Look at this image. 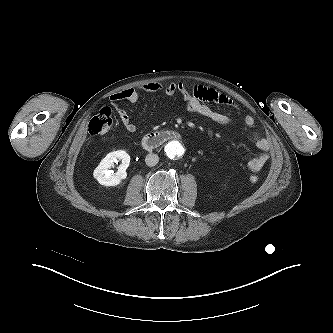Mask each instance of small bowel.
Instances as JSON below:
<instances>
[{"label":"small bowel","instance_id":"1","mask_svg":"<svg viewBox=\"0 0 333 333\" xmlns=\"http://www.w3.org/2000/svg\"><path fill=\"white\" fill-rule=\"evenodd\" d=\"M146 93L164 94L168 96L177 94L180 96L184 107L189 112L197 113L220 125L230 124L236 119L234 115L221 113L211 108V103L235 107L231 99L212 88L204 86L188 88L180 82H172L169 84L154 82L123 89L110 96V101L115 106L124 128L129 132H135L137 126L131 120L127 112L118 105V102L123 100L136 102ZM244 122L246 126L252 130L255 145L260 150V153L248 162V168L252 172H259L270 159L271 145L266 137L256 131V122L252 116H245Z\"/></svg>","mask_w":333,"mask_h":333}]
</instances>
